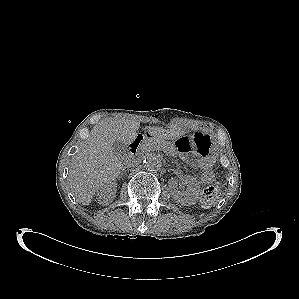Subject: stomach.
<instances>
[{
  "label": "stomach",
  "instance_id": "stomach-1",
  "mask_svg": "<svg viewBox=\"0 0 299 299\" xmlns=\"http://www.w3.org/2000/svg\"><path fill=\"white\" fill-rule=\"evenodd\" d=\"M174 147L182 159L200 168H211L220 159V147L207 132L199 131L189 137L179 135L174 140Z\"/></svg>",
  "mask_w": 299,
  "mask_h": 299
}]
</instances>
